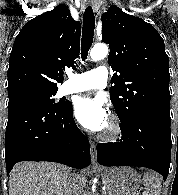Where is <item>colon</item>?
<instances>
[{"instance_id": "5ec220e1", "label": "colon", "mask_w": 178, "mask_h": 195, "mask_svg": "<svg viewBox=\"0 0 178 195\" xmlns=\"http://www.w3.org/2000/svg\"><path fill=\"white\" fill-rule=\"evenodd\" d=\"M144 195H151V194H149V193H145Z\"/></svg>"}]
</instances>
